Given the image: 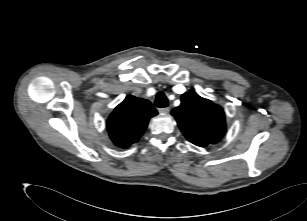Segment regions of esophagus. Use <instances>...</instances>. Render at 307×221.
<instances>
[{"label": "esophagus", "instance_id": "34e87169", "mask_svg": "<svg viewBox=\"0 0 307 221\" xmlns=\"http://www.w3.org/2000/svg\"><path fill=\"white\" fill-rule=\"evenodd\" d=\"M169 111H170L169 107L159 108V112L162 114H167L169 113Z\"/></svg>", "mask_w": 307, "mask_h": 221}]
</instances>
